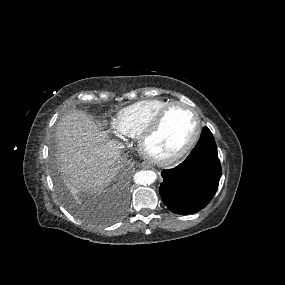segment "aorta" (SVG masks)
Masks as SVG:
<instances>
[{
	"label": "aorta",
	"mask_w": 285,
	"mask_h": 285,
	"mask_svg": "<svg viewBox=\"0 0 285 285\" xmlns=\"http://www.w3.org/2000/svg\"><path fill=\"white\" fill-rule=\"evenodd\" d=\"M157 175L154 171L142 170L134 175V182L139 185H149L155 182Z\"/></svg>",
	"instance_id": "aorta-1"
}]
</instances>
